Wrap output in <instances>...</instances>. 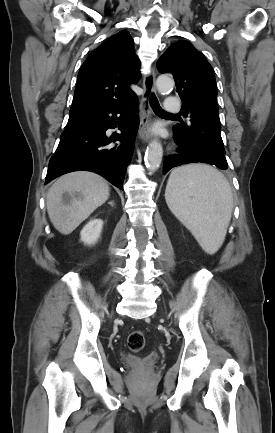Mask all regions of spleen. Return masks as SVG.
<instances>
[{
	"mask_svg": "<svg viewBox=\"0 0 275 433\" xmlns=\"http://www.w3.org/2000/svg\"><path fill=\"white\" fill-rule=\"evenodd\" d=\"M165 199L206 253L221 247L233 209L231 187L221 172L204 164L178 167L170 174Z\"/></svg>",
	"mask_w": 275,
	"mask_h": 433,
	"instance_id": "obj_1",
	"label": "spleen"
}]
</instances>
